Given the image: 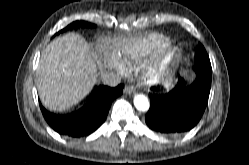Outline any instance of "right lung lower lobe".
<instances>
[{
    "label": "right lung lower lobe",
    "mask_w": 249,
    "mask_h": 165,
    "mask_svg": "<svg viewBox=\"0 0 249 165\" xmlns=\"http://www.w3.org/2000/svg\"><path fill=\"white\" fill-rule=\"evenodd\" d=\"M123 93V85L115 88L98 86L92 97L79 109L67 114H55L40 103L49 126L60 135L83 137L90 135L105 121L112 101Z\"/></svg>",
    "instance_id": "1"
}]
</instances>
